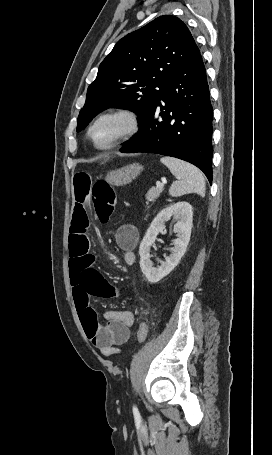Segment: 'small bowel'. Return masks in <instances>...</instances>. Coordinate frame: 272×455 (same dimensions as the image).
<instances>
[{"mask_svg":"<svg viewBox=\"0 0 272 455\" xmlns=\"http://www.w3.org/2000/svg\"><path fill=\"white\" fill-rule=\"evenodd\" d=\"M94 181L84 171L77 172L73 179L75 206L69 234V267L73 297L78 315L87 338L104 356L120 354V345L130 338L134 315L128 310H108L104 313L105 325H100L97 313L91 307L90 298H115L123 292L116 289L93 265L95 256L90 252L88 239L89 216L87 204L92 195ZM139 239L134 225L123 224L115 233V241L123 252L127 265L136 262L135 248Z\"/></svg>","mask_w":272,"mask_h":455,"instance_id":"small-bowel-1","label":"small bowel"}]
</instances>
